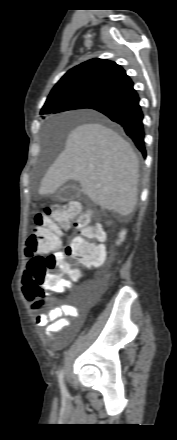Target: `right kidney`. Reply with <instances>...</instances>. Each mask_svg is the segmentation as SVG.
<instances>
[{
	"mask_svg": "<svg viewBox=\"0 0 177 440\" xmlns=\"http://www.w3.org/2000/svg\"><path fill=\"white\" fill-rule=\"evenodd\" d=\"M125 235H126V231L123 230V231L120 233V240L117 242V244H120V242H122V241L124 240Z\"/></svg>",
	"mask_w": 177,
	"mask_h": 440,
	"instance_id": "obj_1",
	"label": "right kidney"
}]
</instances>
